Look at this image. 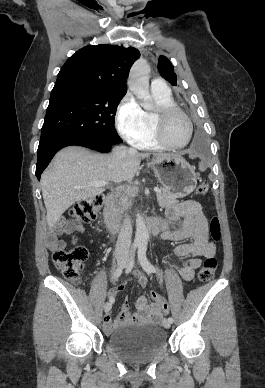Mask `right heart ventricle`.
Segmentation results:
<instances>
[{"instance_id":"obj_1","label":"right heart ventricle","mask_w":265,"mask_h":388,"mask_svg":"<svg viewBox=\"0 0 265 388\" xmlns=\"http://www.w3.org/2000/svg\"><path fill=\"white\" fill-rule=\"evenodd\" d=\"M150 96L155 100L157 107L159 105L173 104L174 100L169 91H152ZM156 107V108H157ZM153 112H145L147 118V129L143 135L134 140L135 145L141 149L160 150L162 145L157 141L153 127Z\"/></svg>"}]
</instances>
